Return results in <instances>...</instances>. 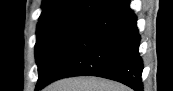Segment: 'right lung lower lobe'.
I'll return each instance as SVG.
<instances>
[{
  "mask_svg": "<svg viewBox=\"0 0 173 91\" xmlns=\"http://www.w3.org/2000/svg\"><path fill=\"white\" fill-rule=\"evenodd\" d=\"M136 21L129 0H119L96 13L79 29L36 91L56 79L81 75L108 78L142 90Z\"/></svg>",
  "mask_w": 173,
  "mask_h": 91,
  "instance_id": "98d812e1",
  "label": "right lung lower lobe"
}]
</instances>
